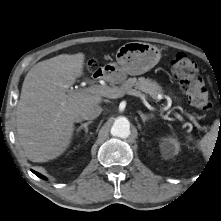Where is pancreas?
I'll return each instance as SVG.
<instances>
[{
	"instance_id": "1",
	"label": "pancreas",
	"mask_w": 221,
	"mask_h": 221,
	"mask_svg": "<svg viewBox=\"0 0 221 221\" xmlns=\"http://www.w3.org/2000/svg\"><path fill=\"white\" fill-rule=\"evenodd\" d=\"M135 88V90H140L148 94L151 98L156 99L159 94H162V88L157 84V82L152 81L149 78L139 77L138 79L128 78L125 80L121 86H113L112 89L117 92H125Z\"/></svg>"
}]
</instances>
